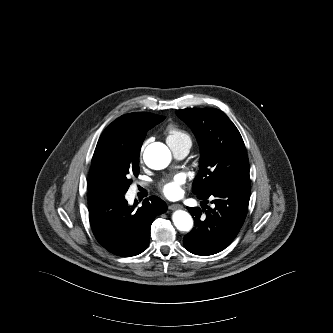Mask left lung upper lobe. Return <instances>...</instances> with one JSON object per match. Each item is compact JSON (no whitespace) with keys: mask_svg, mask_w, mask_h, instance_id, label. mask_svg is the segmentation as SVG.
<instances>
[{"mask_svg":"<svg viewBox=\"0 0 333 333\" xmlns=\"http://www.w3.org/2000/svg\"><path fill=\"white\" fill-rule=\"evenodd\" d=\"M176 114L193 130L201 148L200 170L192 191L203 195L224 185L247 182L249 161L243 139L220 110L190 108Z\"/></svg>","mask_w":333,"mask_h":333,"instance_id":"1","label":"left lung upper lobe"}]
</instances>
